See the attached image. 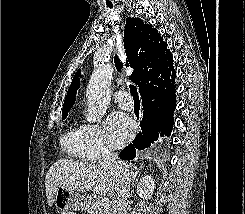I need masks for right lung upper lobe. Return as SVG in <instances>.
<instances>
[{"mask_svg": "<svg viewBox=\"0 0 245 214\" xmlns=\"http://www.w3.org/2000/svg\"><path fill=\"white\" fill-rule=\"evenodd\" d=\"M124 47L127 56L126 66L134 68L131 79L139 88L145 77L161 64L166 63L171 57L167 43L163 41L159 32L143 20L138 18H128L124 31ZM117 69H121L123 64L115 56ZM79 73L74 75L72 83L65 97L62 113H68L75 102L76 92L79 87Z\"/></svg>", "mask_w": 245, "mask_h": 214, "instance_id": "1", "label": "right lung upper lobe"}]
</instances>
